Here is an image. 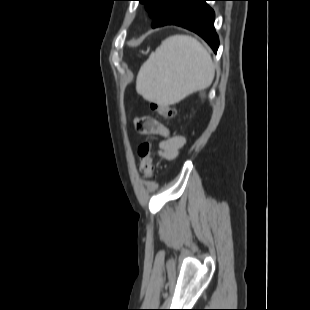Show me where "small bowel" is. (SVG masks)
<instances>
[{
	"mask_svg": "<svg viewBox=\"0 0 310 310\" xmlns=\"http://www.w3.org/2000/svg\"><path fill=\"white\" fill-rule=\"evenodd\" d=\"M135 126L141 133L156 134L164 137L159 144L158 155L165 159H174L185 144V138L183 136L170 135L168 129L151 116L136 118Z\"/></svg>",
	"mask_w": 310,
	"mask_h": 310,
	"instance_id": "small-bowel-1",
	"label": "small bowel"
}]
</instances>
